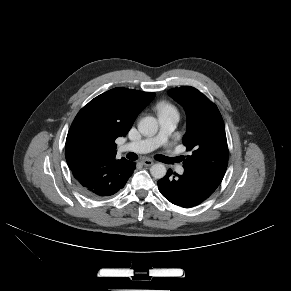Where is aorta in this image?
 <instances>
[{
	"mask_svg": "<svg viewBox=\"0 0 291 291\" xmlns=\"http://www.w3.org/2000/svg\"><path fill=\"white\" fill-rule=\"evenodd\" d=\"M138 130L144 136H154L158 131V122L156 118L147 116L138 123ZM166 167L162 163H156L151 166L150 173L156 179H161L166 175Z\"/></svg>",
	"mask_w": 291,
	"mask_h": 291,
	"instance_id": "aorta-1",
	"label": "aorta"
}]
</instances>
